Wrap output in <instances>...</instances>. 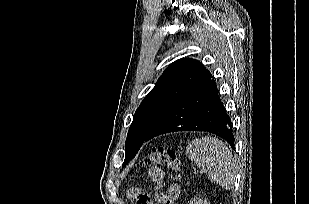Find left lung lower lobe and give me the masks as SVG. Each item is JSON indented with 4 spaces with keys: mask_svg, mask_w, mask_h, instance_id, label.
Instances as JSON below:
<instances>
[{
    "mask_svg": "<svg viewBox=\"0 0 309 204\" xmlns=\"http://www.w3.org/2000/svg\"><path fill=\"white\" fill-rule=\"evenodd\" d=\"M175 131L210 132L223 138L234 148L231 119L219 99L214 80L210 79L174 103L158 119L144 142L155 136Z\"/></svg>",
    "mask_w": 309,
    "mask_h": 204,
    "instance_id": "left-lung-lower-lobe-1",
    "label": "left lung lower lobe"
}]
</instances>
